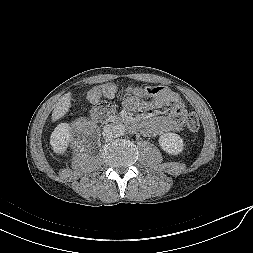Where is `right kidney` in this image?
Masks as SVG:
<instances>
[{
	"mask_svg": "<svg viewBox=\"0 0 253 253\" xmlns=\"http://www.w3.org/2000/svg\"><path fill=\"white\" fill-rule=\"evenodd\" d=\"M71 140L70 127L62 123L51 134L50 144L56 154H64Z\"/></svg>",
	"mask_w": 253,
	"mask_h": 253,
	"instance_id": "right-kidney-1",
	"label": "right kidney"
}]
</instances>
